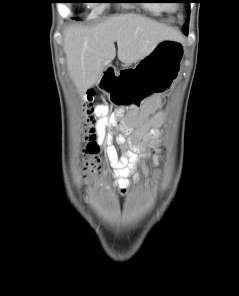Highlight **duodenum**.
<instances>
[{
  "mask_svg": "<svg viewBox=\"0 0 239 296\" xmlns=\"http://www.w3.org/2000/svg\"><path fill=\"white\" fill-rule=\"evenodd\" d=\"M116 76H117L116 69L114 67H109L106 73L104 74V76L102 77V82L107 84L112 83L115 81Z\"/></svg>",
  "mask_w": 239,
  "mask_h": 296,
  "instance_id": "duodenum-1",
  "label": "duodenum"
}]
</instances>
